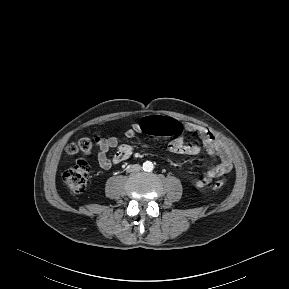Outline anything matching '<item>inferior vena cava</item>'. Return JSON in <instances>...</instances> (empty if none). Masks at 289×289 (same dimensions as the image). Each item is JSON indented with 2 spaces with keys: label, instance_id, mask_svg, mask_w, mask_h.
<instances>
[{
  "label": "inferior vena cava",
  "instance_id": "obj_1",
  "mask_svg": "<svg viewBox=\"0 0 289 289\" xmlns=\"http://www.w3.org/2000/svg\"><path fill=\"white\" fill-rule=\"evenodd\" d=\"M140 170H141V166L139 164H134L127 168L128 172H138Z\"/></svg>",
  "mask_w": 289,
  "mask_h": 289
}]
</instances>
